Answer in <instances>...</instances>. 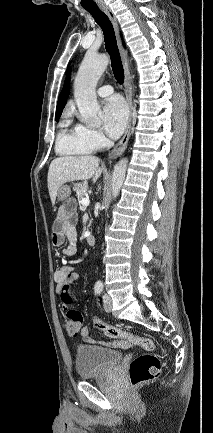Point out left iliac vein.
<instances>
[{"mask_svg":"<svg viewBox=\"0 0 213 433\" xmlns=\"http://www.w3.org/2000/svg\"><path fill=\"white\" fill-rule=\"evenodd\" d=\"M103 306L106 312H111L112 310V299L109 295H104L103 297Z\"/></svg>","mask_w":213,"mask_h":433,"instance_id":"1","label":"left iliac vein"}]
</instances>
